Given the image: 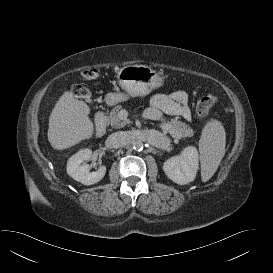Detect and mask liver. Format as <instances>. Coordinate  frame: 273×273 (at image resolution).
<instances>
[{
	"instance_id": "1",
	"label": "liver",
	"mask_w": 273,
	"mask_h": 273,
	"mask_svg": "<svg viewBox=\"0 0 273 273\" xmlns=\"http://www.w3.org/2000/svg\"><path fill=\"white\" fill-rule=\"evenodd\" d=\"M89 113V106L84 101L75 99L70 92L64 93L49 118L47 135L51 146L64 150L92 137L94 126Z\"/></svg>"
}]
</instances>
